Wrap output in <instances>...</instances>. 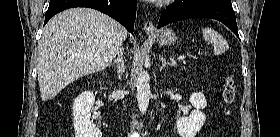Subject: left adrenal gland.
I'll list each match as a JSON object with an SVG mask.
<instances>
[{
    "label": "left adrenal gland",
    "mask_w": 280,
    "mask_h": 137,
    "mask_svg": "<svg viewBox=\"0 0 280 137\" xmlns=\"http://www.w3.org/2000/svg\"><path fill=\"white\" fill-rule=\"evenodd\" d=\"M159 61H161L160 71H162V69L167 65H174V62H167L166 58L163 56H159Z\"/></svg>",
    "instance_id": "a2214340"
}]
</instances>
